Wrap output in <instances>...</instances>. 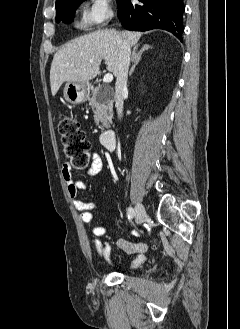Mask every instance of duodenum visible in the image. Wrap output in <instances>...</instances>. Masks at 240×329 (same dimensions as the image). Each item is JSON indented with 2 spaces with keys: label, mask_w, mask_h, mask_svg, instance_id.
<instances>
[{
  "label": "duodenum",
  "mask_w": 240,
  "mask_h": 329,
  "mask_svg": "<svg viewBox=\"0 0 240 329\" xmlns=\"http://www.w3.org/2000/svg\"><path fill=\"white\" fill-rule=\"evenodd\" d=\"M100 143L106 150H113L115 145V131L112 129L104 131L100 136Z\"/></svg>",
  "instance_id": "obj_1"
}]
</instances>
